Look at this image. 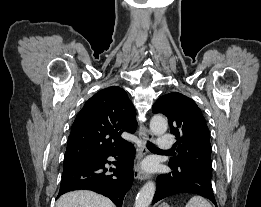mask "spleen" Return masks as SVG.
Returning <instances> with one entry per match:
<instances>
[{
  "mask_svg": "<svg viewBox=\"0 0 261 207\" xmlns=\"http://www.w3.org/2000/svg\"><path fill=\"white\" fill-rule=\"evenodd\" d=\"M185 207H212L211 204L200 196L192 197Z\"/></svg>",
  "mask_w": 261,
  "mask_h": 207,
  "instance_id": "spleen-1",
  "label": "spleen"
}]
</instances>
